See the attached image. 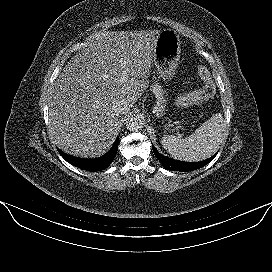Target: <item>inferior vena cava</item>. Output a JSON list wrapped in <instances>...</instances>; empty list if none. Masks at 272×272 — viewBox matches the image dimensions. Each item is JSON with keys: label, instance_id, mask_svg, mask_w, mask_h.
I'll return each mask as SVG.
<instances>
[{"label": "inferior vena cava", "instance_id": "obj_1", "mask_svg": "<svg viewBox=\"0 0 272 272\" xmlns=\"http://www.w3.org/2000/svg\"><path fill=\"white\" fill-rule=\"evenodd\" d=\"M113 111L117 116H121L129 112V106L125 105L122 101H118L113 106Z\"/></svg>", "mask_w": 272, "mask_h": 272}]
</instances>
